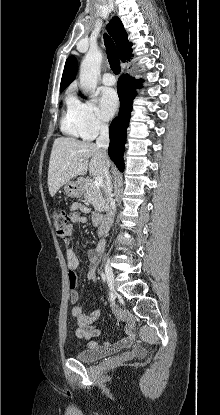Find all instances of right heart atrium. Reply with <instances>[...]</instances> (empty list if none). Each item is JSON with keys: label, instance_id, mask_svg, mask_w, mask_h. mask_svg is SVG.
Here are the masks:
<instances>
[{"label": "right heart atrium", "instance_id": "right-heart-atrium-1", "mask_svg": "<svg viewBox=\"0 0 220 415\" xmlns=\"http://www.w3.org/2000/svg\"><path fill=\"white\" fill-rule=\"evenodd\" d=\"M79 114L84 139H93L107 129V124L99 117L97 107L92 101L80 102Z\"/></svg>", "mask_w": 220, "mask_h": 415}]
</instances>
